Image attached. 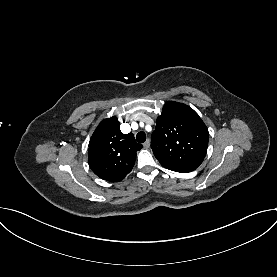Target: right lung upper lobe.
<instances>
[{
  "label": "right lung upper lobe",
  "mask_w": 277,
  "mask_h": 277,
  "mask_svg": "<svg viewBox=\"0 0 277 277\" xmlns=\"http://www.w3.org/2000/svg\"><path fill=\"white\" fill-rule=\"evenodd\" d=\"M88 147L92 171L101 179L119 182L132 170L142 145L132 133L123 134L117 117L113 116L100 122Z\"/></svg>",
  "instance_id": "1"
}]
</instances>
